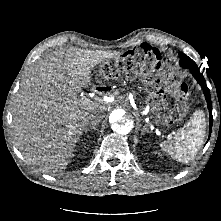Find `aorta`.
<instances>
[{
    "mask_svg": "<svg viewBox=\"0 0 221 221\" xmlns=\"http://www.w3.org/2000/svg\"><path fill=\"white\" fill-rule=\"evenodd\" d=\"M111 129L119 135L129 134L135 127L134 117L123 109L113 111L109 117Z\"/></svg>",
    "mask_w": 221,
    "mask_h": 221,
    "instance_id": "762f6f07",
    "label": "aorta"
}]
</instances>
